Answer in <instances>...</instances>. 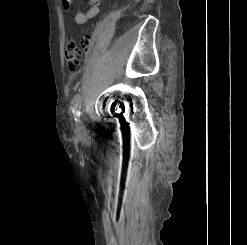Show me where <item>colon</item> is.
<instances>
[{"instance_id": "5ec220e1", "label": "colon", "mask_w": 247, "mask_h": 245, "mask_svg": "<svg viewBox=\"0 0 247 245\" xmlns=\"http://www.w3.org/2000/svg\"><path fill=\"white\" fill-rule=\"evenodd\" d=\"M91 43L90 35H84L79 40L69 36L66 42L65 59L71 72L77 71Z\"/></svg>"}]
</instances>
